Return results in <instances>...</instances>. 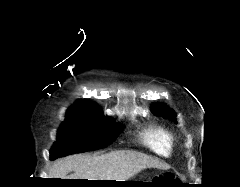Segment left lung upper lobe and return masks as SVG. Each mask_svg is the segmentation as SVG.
Wrapping results in <instances>:
<instances>
[{"label": "left lung upper lobe", "mask_w": 240, "mask_h": 187, "mask_svg": "<svg viewBox=\"0 0 240 187\" xmlns=\"http://www.w3.org/2000/svg\"><path fill=\"white\" fill-rule=\"evenodd\" d=\"M152 112L157 116H163L173 121H175L176 118L175 112L166 106L154 105Z\"/></svg>", "instance_id": "obj_1"}]
</instances>
